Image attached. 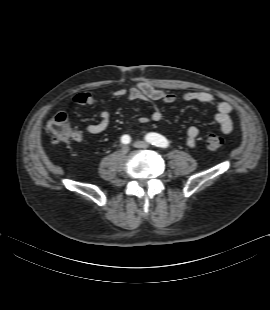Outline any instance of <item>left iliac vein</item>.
Masks as SVG:
<instances>
[{"instance_id": "left-iliac-vein-1", "label": "left iliac vein", "mask_w": 270, "mask_h": 310, "mask_svg": "<svg viewBox=\"0 0 270 310\" xmlns=\"http://www.w3.org/2000/svg\"><path fill=\"white\" fill-rule=\"evenodd\" d=\"M133 145L136 148H143V149H146L150 146L147 142H144V141H136L134 142Z\"/></svg>"}]
</instances>
